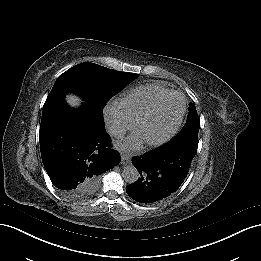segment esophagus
Returning <instances> with one entry per match:
<instances>
[{
  "mask_svg": "<svg viewBox=\"0 0 261 261\" xmlns=\"http://www.w3.org/2000/svg\"><path fill=\"white\" fill-rule=\"evenodd\" d=\"M121 162L123 165H127L130 163V156L127 154H122L121 155Z\"/></svg>",
  "mask_w": 261,
  "mask_h": 261,
  "instance_id": "obj_1",
  "label": "esophagus"
}]
</instances>
